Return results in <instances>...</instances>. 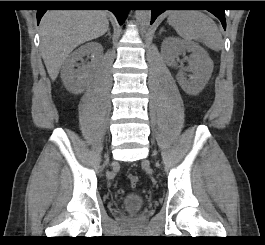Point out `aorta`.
I'll return each instance as SVG.
<instances>
[{
	"mask_svg": "<svg viewBox=\"0 0 265 245\" xmlns=\"http://www.w3.org/2000/svg\"><path fill=\"white\" fill-rule=\"evenodd\" d=\"M136 20L142 28L149 25L151 20V10H136Z\"/></svg>",
	"mask_w": 265,
	"mask_h": 245,
	"instance_id": "762f6f07",
	"label": "aorta"
}]
</instances>
